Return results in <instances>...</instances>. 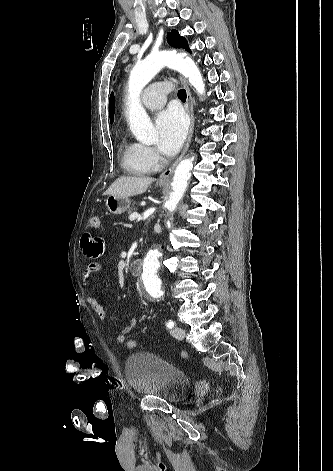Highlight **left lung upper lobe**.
Wrapping results in <instances>:
<instances>
[{"instance_id": "left-lung-upper-lobe-1", "label": "left lung upper lobe", "mask_w": 333, "mask_h": 471, "mask_svg": "<svg viewBox=\"0 0 333 471\" xmlns=\"http://www.w3.org/2000/svg\"><path fill=\"white\" fill-rule=\"evenodd\" d=\"M167 42L169 45L175 48H184L191 53L186 39L179 35L177 30H172L167 34Z\"/></svg>"}]
</instances>
